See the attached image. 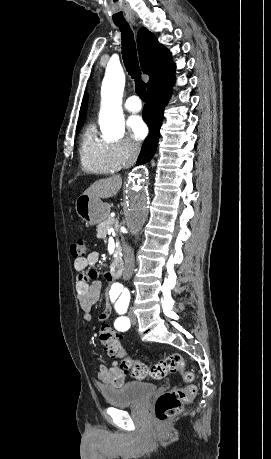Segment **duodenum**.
<instances>
[{"label": "duodenum", "instance_id": "1", "mask_svg": "<svg viewBox=\"0 0 271 459\" xmlns=\"http://www.w3.org/2000/svg\"><path fill=\"white\" fill-rule=\"evenodd\" d=\"M124 270L123 262L120 259H116L110 270V274L113 280L119 279L122 276Z\"/></svg>", "mask_w": 271, "mask_h": 459}]
</instances>
